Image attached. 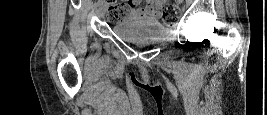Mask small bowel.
<instances>
[{"instance_id":"obj_1","label":"small bowel","mask_w":267,"mask_h":115,"mask_svg":"<svg viewBox=\"0 0 267 115\" xmlns=\"http://www.w3.org/2000/svg\"><path fill=\"white\" fill-rule=\"evenodd\" d=\"M164 3V0H147L143 6L136 7L138 5V1H133V9L131 15L133 17L156 19L158 18L159 11Z\"/></svg>"}]
</instances>
